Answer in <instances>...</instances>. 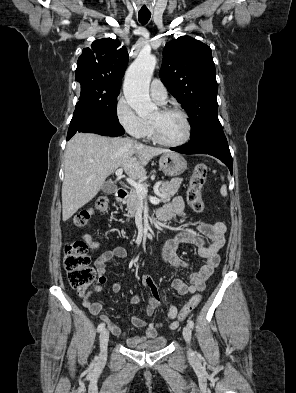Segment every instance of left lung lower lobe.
<instances>
[{
    "label": "left lung lower lobe",
    "instance_id": "0a47b994",
    "mask_svg": "<svg viewBox=\"0 0 296 393\" xmlns=\"http://www.w3.org/2000/svg\"><path fill=\"white\" fill-rule=\"evenodd\" d=\"M173 151L186 154H209L220 159L232 173V157L227 139L223 131L211 133L197 141L170 148Z\"/></svg>",
    "mask_w": 296,
    "mask_h": 393
}]
</instances>
